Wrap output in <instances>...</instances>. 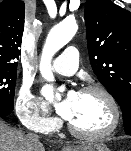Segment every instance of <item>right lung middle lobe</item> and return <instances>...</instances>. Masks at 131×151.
Masks as SVG:
<instances>
[{"mask_svg": "<svg viewBox=\"0 0 131 151\" xmlns=\"http://www.w3.org/2000/svg\"><path fill=\"white\" fill-rule=\"evenodd\" d=\"M17 68L0 67V106L14 108Z\"/></svg>", "mask_w": 131, "mask_h": 151, "instance_id": "dd1d6c3e", "label": "right lung middle lobe"}]
</instances>
